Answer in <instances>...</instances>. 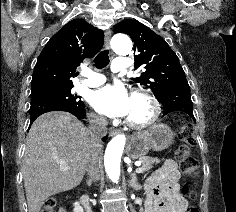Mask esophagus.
I'll use <instances>...</instances> for the list:
<instances>
[{"label":"esophagus","mask_w":236,"mask_h":212,"mask_svg":"<svg viewBox=\"0 0 236 212\" xmlns=\"http://www.w3.org/2000/svg\"><path fill=\"white\" fill-rule=\"evenodd\" d=\"M110 38H111V31H110V30H107V31L105 32V46H106V48H108V49H110ZM118 133H119V130L116 129V128L111 127V128L109 129V135H110V136H114V135H116V134H118Z\"/></svg>","instance_id":"34e87169"}]
</instances>
